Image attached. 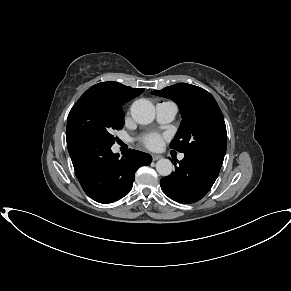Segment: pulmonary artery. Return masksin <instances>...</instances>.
<instances>
[{"mask_svg":"<svg viewBox=\"0 0 291 291\" xmlns=\"http://www.w3.org/2000/svg\"><path fill=\"white\" fill-rule=\"evenodd\" d=\"M177 106L174 102L164 101L156 106L157 121L161 124H167L174 120L177 114ZM184 155L180 154L179 159H183Z\"/></svg>","mask_w":291,"mask_h":291,"instance_id":"1","label":"pulmonary artery"}]
</instances>
